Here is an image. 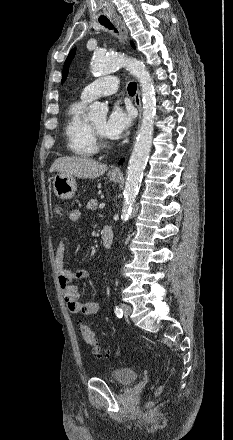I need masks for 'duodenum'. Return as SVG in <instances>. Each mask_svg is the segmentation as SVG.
I'll return each instance as SVG.
<instances>
[{"label":"duodenum","mask_w":233,"mask_h":440,"mask_svg":"<svg viewBox=\"0 0 233 440\" xmlns=\"http://www.w3.org/2000/svg\"><path fill=\"white\" fill-rule=\"evenodd\" d=\"M102 244L105 248H109L113 242V230L109 225H105L101 231Z\"/></svg>","instance_id":"duodenum-1"}]
</instances>
